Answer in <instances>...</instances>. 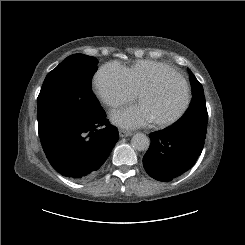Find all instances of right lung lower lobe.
<instances>
[{
	"label": "right lung lower lobe",
	"mask_w": 245,
	"mask_h": 245,
	"mask_svg": "<svg viewBox=\"0 0 245 245\" xmlns=\"http://www.w3.org/2000/svg\"><path fill=\"white\" fill-rule=\"evenodd\" d=\"M105 118L101 111L91 119L62 124L40 134L50 164L63 176L76 181L96 177L119 137L116 127L108 121L106 127L98 128Z\"/></svg>",
	"instance_id": "obj_1"
}]
</instances>
